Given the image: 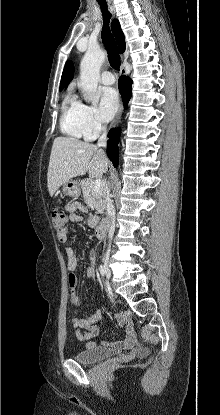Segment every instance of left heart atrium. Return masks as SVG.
Wrapping results in <instances>:
<instances>
[{
	"instance_id": "1",
	"label": "left heart atrium",
	"mask_w": 220,
	"mask_h": 415,
	"mask_svg": "<svg viewBox=\"0 0 220 415\" xmlns=\"http://www.w3.org/2000/svg\"><path fill=\"white\" fill-rule=\"evenodd\" d=\"M119 105L118 94L111 87H103L99 90L98 117L103 121H109L115 115Z\"/></svg>"
}]
</instances>
